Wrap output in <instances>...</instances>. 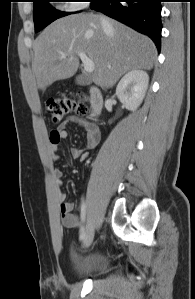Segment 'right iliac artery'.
I'll return each mask as SVG.
<instances>
[{"label": "right iliac artery", "instance_id": "right-iliac-artery-1", "mask_svg": "<svg viewBox=\"0 0 195 299\" xmlns=\"http://www.w3.org/2000/svg\"><path fill=\"white\" fill-rule=\"evenodd\" d=\"M85 217H86V205H85V200L82 198L81 202V220L85 222ZM84 226L81 227L80 230V240H83L85 237V232H84Z\"/></svg>", "mask_w": 195, "mask_h": 299}]
</instances>
